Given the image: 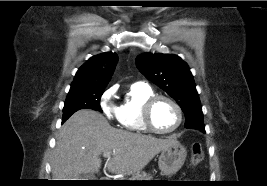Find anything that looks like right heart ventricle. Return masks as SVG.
Segmentation results:
<instances>
[{
	"label": "right heart ventricle",
	"mask_w": 267,
	"mask_h": 186,
	"mask_svg": "<svg viewBox=\"0 0 267 186\" xmlns=\"http://www.w3.org/2000/svg\"><path fill=\"white\" fill-rule=\"evenodd\" d=\"M154 94L153 89L146 84H133L116 109V119L119 127L129 132H148L142 121V107L144 102Z\"/></svg>",
	"instance_id": "1"
}]
</instances>
